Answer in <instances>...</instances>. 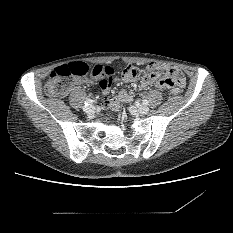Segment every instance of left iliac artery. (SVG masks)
<instances>
[{"instance_id": "obj_1", "label": "left iliac artery", "mask_w": 233, "mask_h": 233, "mask_svg": "<svg viewBox=\"0 0 233 233\" xmlns=\"http://www.w3.org/2000/svg\"><path fill=\"white\" fill-rule=\"evenodd\" d=\"M143 104L148 105V104H149V101H148L147 99H144V100H143Z\"/></svg>"}]
</instances>
